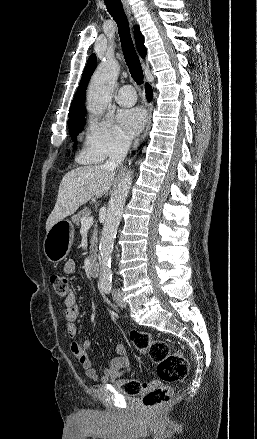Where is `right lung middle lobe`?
<instances>
[{"label":"right lung middle lobe","instance_id":"right-lung-middle-lobe-1","mask_svg":"<svg viewBox=\"0 0 257 439\" xmlns=\"http://www.w3.org/2000/svg\"><path fill=\"white\" fill-rule=\"evenodd\" d=\"M85 124V115L69 114L68 128L72 140H76V136L83 130Z\"/></svg>","mask_w":257,"mask_h":439}]
</instances>
